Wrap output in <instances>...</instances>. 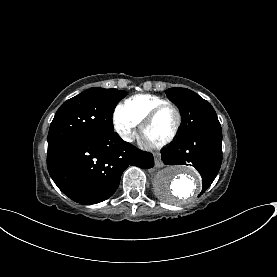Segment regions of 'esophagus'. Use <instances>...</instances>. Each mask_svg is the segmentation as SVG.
I'll return each instance as SVG.
<instances>
[{
	"label": "esophagus",
	"mask_w": 277,
	"mask_h": 277,
	"mask_svg": "<svg viewBox=\"0 0 277 277\" xmlns=\"http://www.w3.org/2000/svg\"><path fill=\"white\" fill-rule=\"evenodd\" d=\"M155 166L158 167V168H161L164 166L163 162L161 161L160 158H156L155 159Z\"/></svg>",
	"instance_id": "34e87169"
}]
</instances>
